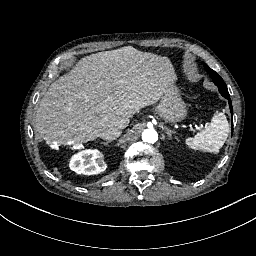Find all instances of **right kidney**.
Returning <instances> with one entry per match:
<instances>
[{
  "label": "right kidney",
  "instance_id": "ca27d5eb",
  "mask_svg": "<svg viewBox=\"0 0 256 256\" xmlns=\"http://www.w3.org/2000/svg\"><path fill=\"white\" fill-rule=\"evenodd\" d=\"M69 167L77 174L95 175L105 171L107 165L99 150L86 149L71 157Z\"/></svg>",
  "mask_w": 256,
  "mask_h": 256
}]
</instances>
